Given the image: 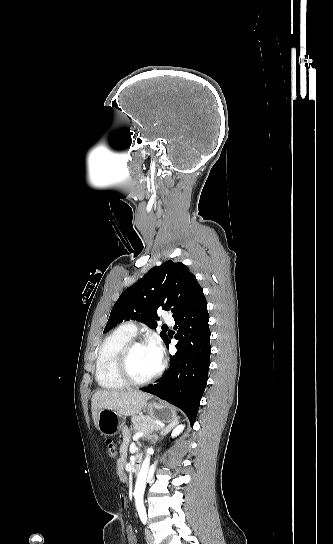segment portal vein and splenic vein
Here are the masks:
<instances>
[{
  "label": "portal vein and splenic vein",
  "mask_w": 333,
  "mask_h": 544,
  "mask_svg": "<svg viewBox=\"0 0 333 544\" xmlns=\"http://www.w3.org/2000/svg\"><path fill=\"white\" fill-rule=\"evenodd\" d=\"M143 434H144V431H139V432L133 437V440L139 439L141 436H143Z\"/></svg>",
  "instance_id": "obj_1"
}]
</instances>
